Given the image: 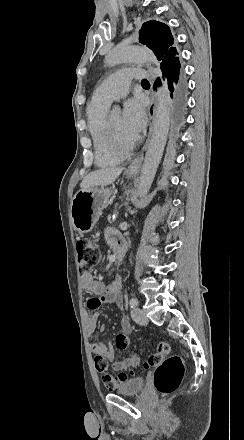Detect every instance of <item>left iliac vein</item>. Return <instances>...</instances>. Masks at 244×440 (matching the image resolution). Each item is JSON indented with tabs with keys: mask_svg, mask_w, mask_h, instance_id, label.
Returning a JSON list of instances; mask_svg holds the SVG:
<instances>
[{
	"mask_svg": "<svg viewBox=\"0 0 244 440\" xmlns=\"http://www.w3.org/2000/svg\"><path fill=\"white\" fill-rule=\"evenodd\" d=\"M131 317L133 319L134 322L143 325L147 323V318L146 315L144 313V310H142L139 307H134L131 311Z\"/></svg>",
	"mask_w": 244,
	"mask_h": 440,
	"instance_id": "1",
	"label": "left iliac vein"
}]
</instances>
